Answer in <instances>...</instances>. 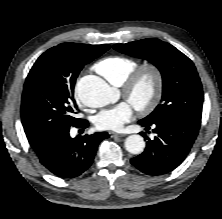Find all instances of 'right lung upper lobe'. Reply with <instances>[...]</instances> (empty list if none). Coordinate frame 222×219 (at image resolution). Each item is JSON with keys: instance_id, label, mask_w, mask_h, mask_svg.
Returning <instances> with one entry per match:
<instances>
[{"instance_id": "right-lung-upper-lobe-1", "label": "right lung upper lobe", "mask_w": 222, "mask_h": 219, "mask_svg": "<svg viewBox=\"0 0 222 219\" xmlns=\"http://www.w3.org/2000/svg\"><path fill=\"white\" fill-rule=\"evenodd\" d=\"M77 44V43H76ZM77 46L81 47V48H89L92 46H107L108 48L110 47L109 45H88V44H77ZM48 140V138H28V141L30 143V145L32 146V148L37 151L39 150L44 144L45 142Z\"/></svg>"}]
</instances>
